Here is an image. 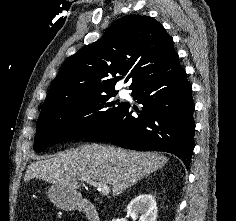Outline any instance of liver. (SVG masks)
Segmentation results:
<instances>
[{"instance_id": "1", "label": "liver", "mask_w": 236, "mask_h": 221, "mask_svg": "<svg viewBox=\"0 0 236 221\" xmlns=\"http://www.w3.org/2000/svg\"><path fill=\"white\" fill-rule=\"evenodd\" d=\"M168 160L158 153L87 144L31 163L24 180L38 178L77 192L79 178L85 177L110 185L113 196H118L163 167Z\"/></svg>"}]
</instances>
